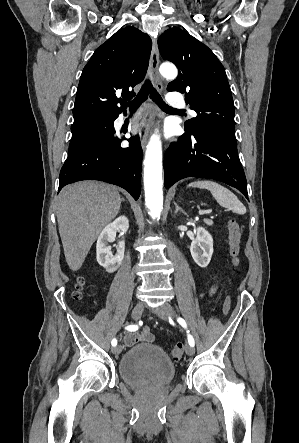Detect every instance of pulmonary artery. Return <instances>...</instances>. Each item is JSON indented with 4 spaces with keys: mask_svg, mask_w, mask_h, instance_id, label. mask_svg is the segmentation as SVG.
Here are the masks:
<instances>
[{
    "mask_svg": "<svg viewBox=\"0 0 299 443\" xmlns=\"http://www.w3.org/2000/svg\"><path fill=\"white\" fill-rule=\"evenodd\" d=\"M166 100L168 104L173 108L179 109L184 107V98L180 93L176 92L168 93L166 96Z\"/></svg>",
    "mask_w": 299,
    "mask_h": 443,
    "instance_id": "obj_1",
    "label": "pulmonary artery"
}]
</instances>
